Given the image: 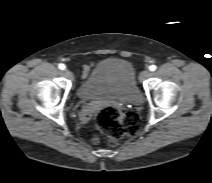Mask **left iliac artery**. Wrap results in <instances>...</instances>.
<instances>
[{"mask_svg": "<svg viewBox=\"0 0 212 183\" xmlns=\"http://www.w3.org/2000/svg\"><path fill=\"white\" fill-rule=\"evenodd\" d=\"M156 68H157L156 65H151V66L149 67V70H150V71H155Z\"/></svg>", "mask_w": 212, "mask_h": 183, "instance_id": "1", "label": "left iliac artery"}]
</instances>
